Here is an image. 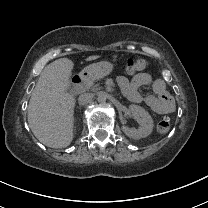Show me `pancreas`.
Masks as SVG:
<instances>
[{"label": "pancreas", "mask_w": 208, "mask_h": 208, "mask_svg": "<svg viewBox=\"0 0 208 208\" xmlns=\"http://www.w3.org/2000/svg\"><path fill=\"white\" fill-rule=\"evenodd\" d=\"M86 90L89 91H98L102 90L101 83L98 80H92L90 83L87 84Z\"/></svg>", "instance_id": "cf45deb5"}]
</instances>
